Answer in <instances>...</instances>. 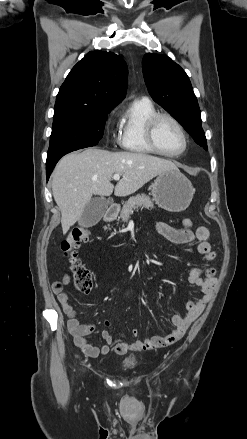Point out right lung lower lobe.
<instances>
[{
    "instance_id": "obj_1",
    "label": "right lung lower lobe",
    "mask_w": 247,
    "mask_h": 439,
    "mask_svg": "<svg viewBox=\"0 0 247 439\" xmlns=\"http://www.w3.org/2000/svg\"><path fill=\"white\" fill-rule=\"evenodd\" d=\"M55 165H56V164H53V165H51V166H49V167H46V175H47V179H49V177H50V175H51V172H52L53 168L55 167Z\"/></svg>"
}]
</instances>
